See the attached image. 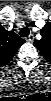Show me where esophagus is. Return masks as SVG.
Wrapping results in <instances>:
<instances>
[{"mask_svg":"<svg viewBox=\"0 0 51 101\" xmlns=\"http://www.w3.org/2000/svg\"><path fill=\"white\" fill-rule=\"evenodd\" d=\"M27 42H33L34 41V36L31 34L26 38Z\"/></svg>","mask_w":51,"mask_h":101,"instance_id":"esophagus-1","label":"esophagus"}]
</instances>
